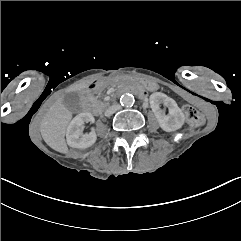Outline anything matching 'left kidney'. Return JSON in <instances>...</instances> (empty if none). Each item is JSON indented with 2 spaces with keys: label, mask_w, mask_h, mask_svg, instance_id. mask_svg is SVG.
<instances>
[{
  "label": "left kidney",
  "mask_w": 241,
  "mask_h": 241,
  "mask_svg": "<svg viewBox=\"0 0 241 241\" xmlns=\"http://www.w3.org/2000/svg\"><path fill=\"white\" fill-rule=\"evenodd\" d=\"M149 102L152 112L155 115L160 128L164 132H175L183 127L185 123L184 113L173 99L164 93L155 92L150 95ZM162 103L168 108L171 116L170 119L168 116H165L163 113H161L159 104Z\"/></svg>",
  "instance_id": "obj_1"
}]
</instances>
